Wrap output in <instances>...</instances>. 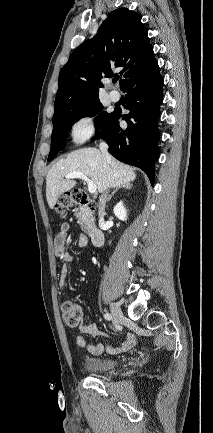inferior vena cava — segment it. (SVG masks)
Masks as SVG:
<instances>
[{
    "mask_svg": "<svg viewBox=\"0 0 213 433\" xmlns=\"http://www.w3.org/2000/svg\"><path fill=\"white\" fill-rule=\"evenodd\" d=\"M99 148L103 154L104 157H106L107 159H110V155L108 152V145L106 144V142L101 141ZM107 197V193L103 194L100 197V206H99V217H100V221H103V216L105 215V204H106V198Z\"/></svg>",
    "mask_w": 213,
    "mask_h": 433,
    "instance_id": "602c4592",
    "label": "inferior vena cava"
}]
</instances>
